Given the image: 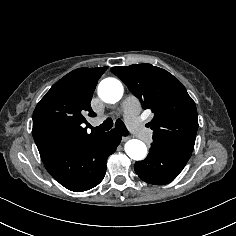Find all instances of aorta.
Listing matches in <instances>:
<instances>
[{
  "label": "aorta",
  "instance_id": "1",
  "mask_svg": "<svg viewBox=\"0 0 236 236\" xmlns=\"http://www.w3.org/2000/svg\"><path fill=\"white\" fill-rule=\"evenodd\" d=\"M98 95L106 103H116L123 95L122 83L115 78L103 79L98 86ZM126 154L133 160H143L147 155L145 143L131 139L125 144Z\"/></svg>",
  "mask_w": 236,
  "mask_h": 236
}]
</instances>
